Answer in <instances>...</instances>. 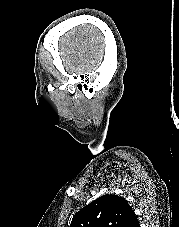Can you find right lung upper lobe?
I'll list each match as a JSON object with an SVG mask.
<instances>
[{"instance_id":"1","label":"right lung upper lobe","mask_w":179,"mask_h":227,"mask_svg":"<svg viewBox=\"0 0 179 227\" xmlns=\"http://www.w3.org/2000/svg\"><path fill=\"white\" fill-rule=\"evenodd\" d=\"M70 227H139V222L128 201L107 194L77 212Z\"/></svg>"}]
</instances>
